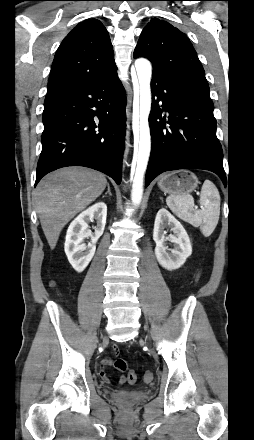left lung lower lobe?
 <instances>
[{
    "instance_id": "obj_1",
    "label": "left lung lower lobe",
    "mask_w": 254,
    "mask_h": 440,
    "mask_svg": "<svg viewBox=\"0 0 254 440\" xmlns=\"http://www.w3.org/2000/svg\"><path fill=\"white\" fill-rule=\"evenodd\" d=\"M151 90L149 126L152 146L146 186L162 172L187 168L212 171L226 185L212 100L182 84L171 82L166 74L155 69Z\"/></svg>"
}]
</instances>
